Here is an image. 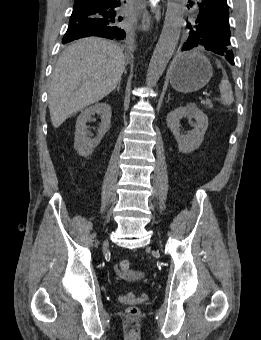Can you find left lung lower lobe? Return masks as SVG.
Wrapping results in <instances>:
<instances>
[{
	"mask_svg": "<svg viewBox=\"0 0 261 340\" xmlns=\"http://www.w3.org/2000/svg\"><path fill=\"white\" fill-rule=\"evenodd\" d=\"M194 4V3H190ZM198 15L193 20L198 25H203L211 20H222L229 18V10L227 0H198L197 3ZM199 41L194 37H189L183 45V50H190L198 47ZM227 61L234 65L233 52L226 56Z\"/></svg>",
	"mask_w": 261,
	"mask_h": 340,
	"instance_id": "0a47b994",
	"label": "left lung lower lobe"
}]
</instances>
